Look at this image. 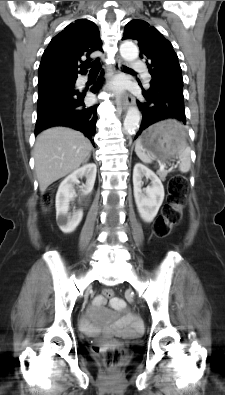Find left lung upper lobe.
Masks as SVG:
<instances>
[{
    "mask_svg": "<svg viewBox=\"0 0 225 395\" xmlns=\"http://www.w3.org/2000/svg\"><path fill=\"white\" fill-rule=\"evenodd\" d=\"M125 39L138 41L140 57L146 59L152 76L150 85L183 86L177 54L157 29L143 20L134 19L125 26L122 40Z\"/></svg>",
    "mask_w": 225,
    "mask_h": 395,
    "instance_id": "1",
    "label": "left lung upper lobe"
}]
</instances>
